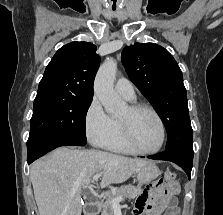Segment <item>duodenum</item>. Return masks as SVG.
<instances>
[{"instance_id":"duodenum-1","label":"duodenum","mask_w":223,"mask_h":215,"mask_svg":"<svg viewBox=\"0 0 223 215\" xmlns=\"http://www.w3.org/2000/svg\"><path fill=\"white\" fill-rule=\"evenodd\" d=\"M84 215H98V204L94 200H87L84 204Z\"/></svg>"}]
</instances>
